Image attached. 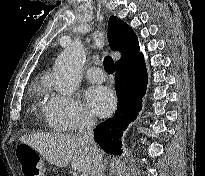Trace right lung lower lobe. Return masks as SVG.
I'll return each mask as SVG.
<instances>
[{
  "label": "right lung lower lobe",
  "instance_id": "obj_1",
  "mask_svg": "<svg viewBox=\"0 0 205 176\" xmlns=\"http://www.w3.org/2000/svg\"><path fill=\"white\" fill-rule=\"evenodd\" d=\"M147 82L148 74L142 53L127 63L116 66L118 108L112 118L99 124L94 130L95 141L107 153H122L119 139L141 110Z\"/></svg>",
  "mask_w": 205,
  "mask_h": 176
}]
</instances>
